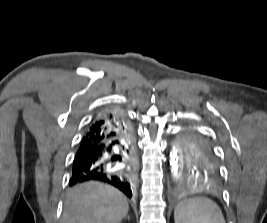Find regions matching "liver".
I'll return each mask as SVG.
<instances>
[{
	"instance_id": "1",
	"label": "liver",
	"mask_w": 267,
	"mask_h": 223,
	"mask_svg": "<svg viewBox=\"0 0 267 223\" xmlns=\"http://www.w3.org/2000/svg\"><path fill=\"white\" fill-rule=\"evenodd\" d=\"M128 210L127 199L120 191L88 182L69 192L62 223H119Z\"/></svg>"
}]
</instances>
